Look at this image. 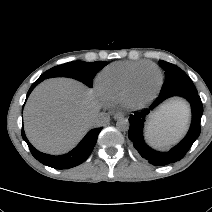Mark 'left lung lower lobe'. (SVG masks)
<instances>
[{
    "mask_svg": "<svg viewBox=\"0 0 212 212\" xmlns=\"http://www.w3.org/2000/svg\"><path fill=\"white\" fill-rule=\"evenodd\" d=\"M173 96L183 97L190 103L192 109V122L187 135L177 146H175L168 152H159L153 150L144 142V121L151 110H153L165 99ZM202 114L203 105L198 92L176 91L165 95H159V97L151 104L148 109L140 112H135L129 117L130 127L128 131V137L131 140L134 148L143 158L148 160L150 164L154 166H164L175 163L185 156V154L191 148L192 144L198 138L200 134V122Z\"/></svg>",
    "mask_w": 212,
    "mask_h": 212,
    "instance_id": "0a47b994",
    "label": "left lung lower lobe"
}]
</instances>
